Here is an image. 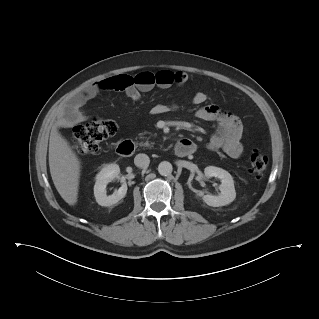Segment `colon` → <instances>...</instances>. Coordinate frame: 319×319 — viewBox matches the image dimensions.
<instances>
[{
	"label": "colon",
	"instance_id": "1",
	"mask_svg": "<svg viewBox=\"0 0 319 319\" xmlns=\"http://www.w3.org/2000/svg\"><path fill=\"white\" fill-rule=\"evenodd\" d=\"M133 82L136 84H151L154 82L150 73H140ZM131 82L126 83V85ZM117 132V124L112 120L95 119L87 124L79 125L73 134V148L78 154H89L98 151L100 144ZM268 165V158L261 152H253L250 156L251 173L260 178Z\"/></svg>",
	"mask_w": 319,
	"mask_h": 319
}]
</instances>
